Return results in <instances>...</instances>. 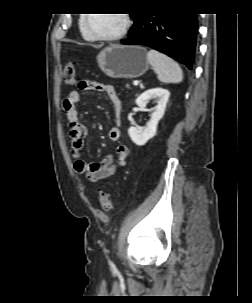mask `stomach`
Masks as SVG:
<instances>
[{"instance_id": "obj_1", "label": "stomach", "mask_w": 252, "mask_h": 303, "mask_svg": "<svg viewBox=\"0 0 252 303\" xmlns=\"http://www.w3.org/2000/svg\"><path fill=\"white\" fill-rule=\"evenodd\" d=\"M102 72L111 78H137L149 68L146 49L136 45H112L97 56Z\"/></svg>"}]
</instances>
